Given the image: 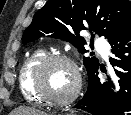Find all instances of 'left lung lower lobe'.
<instances>
[{
	"instance_id": "1",
	"label": "left lung lower lobe",
	"mask_w": 131,
	"mask_h": 115,
	"mask_svg": "<svg viewBox=\"0 0 131 115\" xmlns=\"http://www.w3.org/2000/svg\"><path fill=\"white\" fill-rule=\"evenodd\" d=\"M114 67L106 82L98 78V69L88 77V88L74 106L92 115H131V23L110 41Z\"/></svg>"
}]
</instances>
